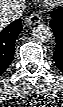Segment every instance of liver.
<instances>
[{"instance_id": "6515ba94", "label": "liver", "mask_w": 63, "mask_h": 107, "mask_svg": "<svg viewBox=\"0 0 63 107\" xmlns=\"http://www.w3.org/2000/svg\"><path fill=\"white\" fill-rule=\"evenodd\" d=\"M14 2V0H1L0 1V6L4 5L7 8L10 7L12 5V3ZM1 8V7H0ZM11 21L1 18V14H0V27H5L6 25H8Z\"/></svg>"}]
</instances>
